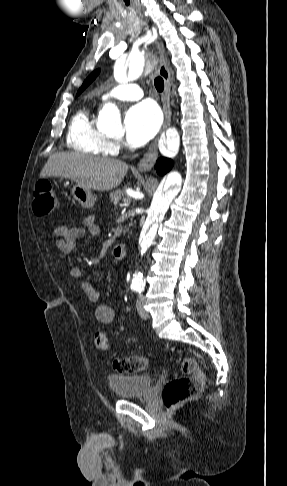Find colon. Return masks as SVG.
<instances>
[{
  "mask_svg": "<svg viewBox=\"0 0 287 486\" xmlns=\"http://www.w3.org/2000/svg\"><path fill=\"white\" fill-rule=\"evenodd\" d=\"M57 204L56 192L48 180L38 181L33 190V211L37 216L44 217L52 213ZM94 345L99 351L109 348L108 338L104 332L94 335ZM147 359L143 356L117 358L112 361V368L119 373H134L147 367ZM183 375L166 383L163 389V400L168 409H174L194 397L202 388L203 376L196 361L190 357L182 360Z\"/></svg>",
  "mask_w": 287,
  "mask_h": 486,
  "instance_id": "obj_1",
  "label": "colon"
}]
</instances>
